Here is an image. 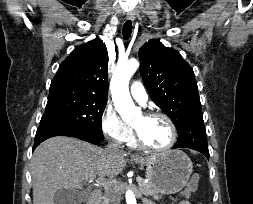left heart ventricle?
Instances as JSON below:
<instances>
[{"label":"left heart ventricle","mask_w":253,"mask_h":204,"mask_svg":"<svg viewBox=\"0 0 253 204\" xmlns=\"http://www.w3.org/2000/svg\"><path fill=\"white\" fill-rule=\"evenodd\" d=\"M142 139L151 147L166 146L171 139V130L168 123L160 117L146 118L139 115L133 122Z\"/></svg>","instance_id":"1"}]
</instances>
